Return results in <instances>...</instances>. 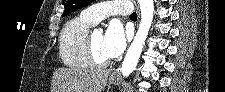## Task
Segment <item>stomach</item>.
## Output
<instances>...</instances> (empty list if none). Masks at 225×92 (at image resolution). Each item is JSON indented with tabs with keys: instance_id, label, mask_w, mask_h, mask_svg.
Instances as JSON below:
<instances>
[{
	"instance_id": "0dacf381",
	"label": "stomach",
	"mask_w": 225,
	"mask_h": 92,
	"mask_svg": "<svg viewBox=\"0 0 225 92\" xmlns=\"http://www.w3.org/2000/svg\"><path fill=\"white\" fill-rule=\"evenodd\" d=\"M109 82H110L111 84L116 83V82H117V77L114 76V75H110V77H109Z\"/></svg>"
}]
</instances>
